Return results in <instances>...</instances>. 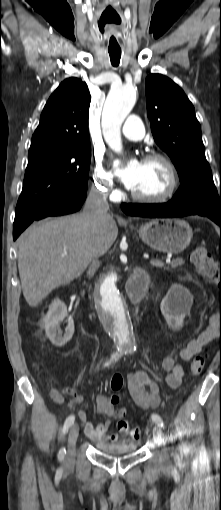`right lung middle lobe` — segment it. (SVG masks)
<instances>
[{
  "label": "right lung middle lobe",
  "mask_w": 221,
  "mask_h": 510,
  "mask_svg": "<svg viewBox=\"0 0 221 510\" xmlns=\"http://www.w3.org/2000/svg\"><path fill=\"white\" fill-rule=\"evenodd\" d=\"M22 193L15 214L30 217L87 188L90 144L28 156Z\"/></svg>",
  "instance_id": "1"
}]
</instances>
